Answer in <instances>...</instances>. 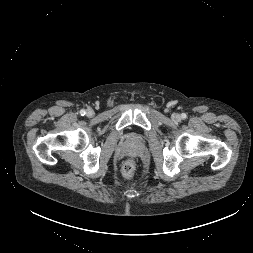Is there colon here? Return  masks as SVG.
I'll use <instances>...</instances> for the list:
<instances>
[{
	"label": "colon",
	"mask_w": 253,
	"mask_h": 253,
	"mask_svg": "<svg viewBox=\"0 0 253 253\" xmlns=\"http://www.w3.org/2000/svg\"><path fill=\"white\" fill-rule=\"evenodd\" d=\"M122 173L127 178H132L135 175V163L132 160H128L124 163Z\"/></svg>",
	"instance_id": "1"
}]
</instances>
